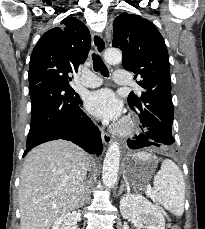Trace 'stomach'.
<instances>
[{"label":"stomach","instance_id":"obj_1","mask_svg":"<svg viewBox=\"0 0 205 229\" xmlns=\"http://www.w3.org/2000/svg\"><path fill=\"white\" fill-rule=\"evenodd\" d=\"M156 159L151 158L149 161L135 160L134 162H128L125 167V174L132 179L145 180L150 175L156 166Z\"/></svg>","mask_w":205,"mask_h":229}]
</instances>
